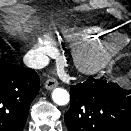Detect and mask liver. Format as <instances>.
Masks as SVG:
<instances>
[{
  "label": "liver",
  "instance_id": "obj_1",
  "mask_svg": "<svg viewBox=\"0 0 131 131\" xmlns=\"http://www.w3.org/2000/svg\"><path fill=\"white\" fill-rule=\"evenodd\" d=\"M10 32L24 33L29 30L30 20L28 16L17 14L7 22Z\"/></svg>",
  "mask_w": 131,
  "mask_h": 131
}]
</instances>
